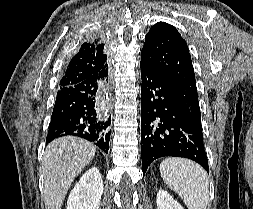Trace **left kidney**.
<instances>
[{
    "mask_svg": "<svg viewBox=\"0 0 253 209\" xmlns=\"http://www.w3.org/2000/svg\"><path fill=\"white\" fill-rule=\"evenodd\" d=\"M156 202L157 209H184L167 191L162 189L157 193Z\"/></svg>",
    "mask_w": 253,
    "mask_h": 209,
    "instance_id": "5707ae66",
    "label": "left kidney"
}]
</instances>
